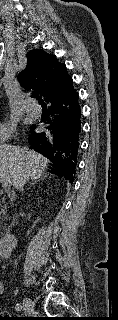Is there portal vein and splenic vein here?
I'll return each mask as SVG.
<instances>
[{
  "mask_svg": "<svg viewBox=\"0 0 118 320\" xmlns=\"http://www.w3.org/2000/svg\"><path fill=\"white\" fill-rule=\"evenodd\" d=\"M0 182L2 183V186L4 190H9L12 182L5 178H0Z\"/></svg>",
  "mask_w": 118,
  "mask_h": 320,
  "instance_id": "portal-vein-and-splenic-vein-1",
  "label": "portal vein and splenic vein"
}]
</instances>
